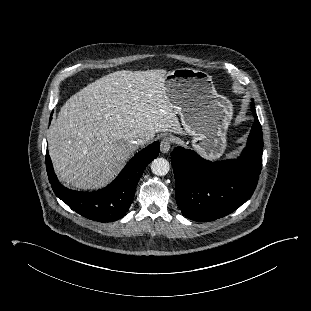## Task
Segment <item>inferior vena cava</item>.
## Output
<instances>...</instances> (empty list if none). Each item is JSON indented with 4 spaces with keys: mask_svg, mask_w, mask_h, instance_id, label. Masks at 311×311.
Returning a JSON list of instances; mask_svg holds the SVG:
<instances>
[{
    "mask_svg": "<svg viewBox=\"0 0 311 311\" xmlns=\"http://www.w3.org/2000/svg\"><path fill=\"white\" fill-rule=\"evenodd\" d=\"M147 139L148 138H145V137H139V138L132 139L131 143L133 145H141V144H144Z\"/></svg>",
    "mask_w": 311,
    "mask_h": 311,
    "instance_id": "inferior-vena-cava-1",
    "label": "inferior vena cava"
}]
</instances>
